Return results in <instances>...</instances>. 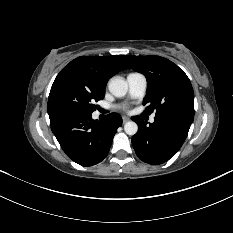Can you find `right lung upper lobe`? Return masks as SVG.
Segmentation results:
<instances>
[{"label":"right lung upper lobe","mask_w":233,"mask_h":233,"mask_svg":"<svg viewBox=\"0 0 233 233\" xmlns=\"http://www.w3.org/2000/svg\"><path fill=\"white\" fill-rule=\"evenodd\" d=\"M122 58V55L78 57L60 71L55 82L71 79L104 91L110 77L128 68Z\"/></svg>","instance_id":"right-lung-upper-lobe-1"}]
</instances>
